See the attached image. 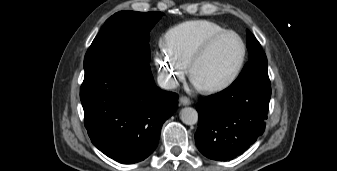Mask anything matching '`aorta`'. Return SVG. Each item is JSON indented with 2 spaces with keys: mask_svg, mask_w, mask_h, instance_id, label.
<instances>
[{
  "mask_svg": "<svg viewBox=\"0 0 337 171\" xmlns=\"http://www.w3.org/2000/svg\"><path fill=\"white\" fill-rule=\"evenodd\" d=\"M180 119L186 125H194L198 122V112L191 107H185L180 112Z\"/></svg>",
  "mask_w": 337,
  "mask_h": 171,
  "instance_id": "762f6f07",
  "label": "aorta"
}]
</instances>
